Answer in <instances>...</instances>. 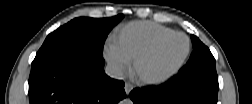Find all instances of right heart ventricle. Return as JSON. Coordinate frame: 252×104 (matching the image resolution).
Masks as SVG:
<instances>
[{
    "label": "right heart ventricle",
    "instance_id": "1",
    "mask_svg": "<svg viewBox=\"0 0 252 104\" xmlns=\"http://www.w3.org/2000/svg\"><path fill=\"white\" fill-rule=\"evenodd\" d=\"M169 33L168 30L148 22H134L124 27L113 44L128 61L144 50L153 40Z\"/></svg>",
    "mask_w": 252,
    "mask_h": 104
}]
</instances>
